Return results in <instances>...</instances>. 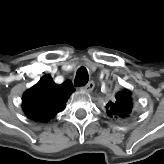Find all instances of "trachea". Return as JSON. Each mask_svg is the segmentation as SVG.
I'll return each mask as SVG.
<instances>
[{
  "label": "trachea",
  "instance_id": "3493384b",
  "mask_svg": "<svg viewBox=\"0 0 164 164\" xmlns=\"http://www.w3.org/2000/svg\"><path fill=\"white\" fill-rule=\"evenodd\" d=\"M89 76L87 69L85 67H80L77 71V74L75 76L74 84L76 87L78 86H84L88 83Z\"/></svg>",
  "mask_w": 164,
  "mask_h": 164
}]
</instances>
